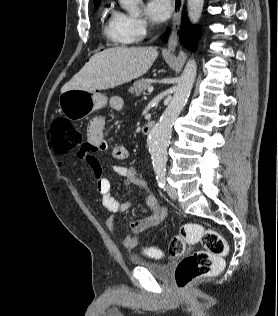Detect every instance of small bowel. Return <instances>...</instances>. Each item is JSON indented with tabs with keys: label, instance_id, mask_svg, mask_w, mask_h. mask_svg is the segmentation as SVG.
Instances as JSON below:
<instances>
[{
	"label": "small bowel",
	"instance_id": "obj_1",
	"mask_svg": "<svg viewBox=\"0 0 278 316\" xmlns=\"http://www.w3.org/2000/svg\"><path fill=\"white\" fill-rule=\"evenodd\" d=\"M110 107L120 112L123 109V100L118 96L110 99ZM106 118L96 116L92 118L87 126V140L78 151V157L84 161L91 169L98 192L102 197L103 206L111 213L106 221V226L111 232L116 231L114 214L127 211L132 205V201L119 202L111 195V183L105 176L100 160L96 153L109 149V144L104 138ZM111 155L115 160L123 161L129 157L128 149L123 145L113 147ZM113 172L116 175L124 177L128 182L138 186L144 192V201L148 209V216L141 220H132L129 223L131 233L119 235L121 244L129 249H133L138 244L137 235L148 229H151L162 222L167 217V209L161 205L156 196L149 190L147 181L137 176L136 166H113Z\"/></svg>",
	"mask_w": 278,
	"mask_h": 316
}]
</instances>
